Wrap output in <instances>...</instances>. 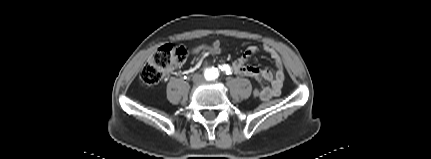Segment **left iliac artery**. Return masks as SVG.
<instances>
[{"instance_id": "left-iliac-artery-1", "label": "left iliac artery", "mask_w": 431, "mask_h": 159, "mask_svg": "<svg viewBox=\"0 0 431 159\" xmlns=\"http://www.w3.org/2000/svg\"><path fill=\"white\" fill-rule=\"evenodd\" d=\"M221 70L224 71L227 75L231 73L228 65H223ZM218 77V71L214 72L211 79H215Z\"/></svg>"}]
</instances>
